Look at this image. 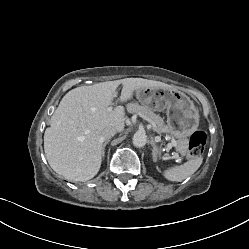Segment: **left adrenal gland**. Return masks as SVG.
Wrapping results in <instances>:
<instances>
[{
	"label": "left adrenal gland",
	"mask_w": 249,
	"mask_h": 249,
	"mask_svg": "<svg viewBox=\"0 0 249 249\" xmlns=\"http://www.w3.org/2000/svg\"><path fill=\"white\" fill-rule=\"evenodd\" d=\"M151 145H152V157H153V161H157V154H158V148L155 144V141L153 139V137H151Z\"/></svg>",
	"instance_id": "1"
}]
</instances>
